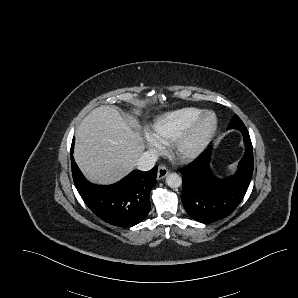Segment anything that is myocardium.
<instances>
[{
	"mask_svg": "<svg viewBox=\"0 0 298 298\" xmlns=\"http://www.w3.org/2000/svg\"><path fill=\"white\" fill-rule=\"evenodd\" d=\"M211 118V128L207 134L198 138L193 144L189 139L195 134L197 127L205 118ZM218 130V119L215 113L203 111L183 129L177 132L170 140L166 141L167 148L173 158L177 160H190L199 156L216 135Z\"/></svg>",
	"mask_w": 298,
	"mask_h": 298,
	"instance_id": "obj_1",
	"label": "myocardium"
}]
</instances>
